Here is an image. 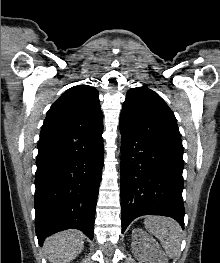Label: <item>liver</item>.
Masks as SVG:
<instances>
[{"mask_svg":"<svg viewBox=\"0 0 220 263\" xmlns=\"http://www.w3.org/2000/svg\"><path fill=\"white\" fill-rule=\"evenodd\" d=\"M84 235L78 230L56 233L46 239L44 251L51 263H68L81 253Z\"/></svg>","mask_w":220,"mask_h":263,"instance_id":"6515ba94","label":"liver"}]
</instances>
